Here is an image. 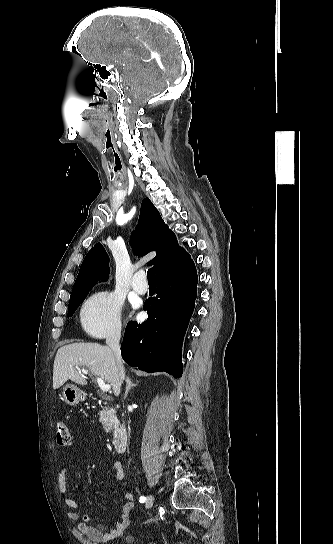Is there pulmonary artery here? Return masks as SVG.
I'll return each instance as SVG.
<instances>
[{
	"label": "pulmonary artery",
	"mask_w": 333,
	"mask_h": 544,
	"mask_svg": "<svg viewBox=\"0 0 333 544\" xmlns=\"http://www.w3.org/2000/svg\"><path fill=\"white\" fill-rule=\"evenodd\" d=\"M132 287L139 294H145L148 291V284L145 280V274L142 271H139L134 275Z\"/></svg>",
	"instance_id": "1"
}]
</instances>
